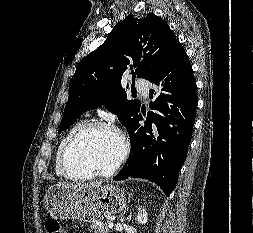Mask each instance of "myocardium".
I'll list each match as a JSON object with an SVG mask.
<instances>
[{
    "instance_id": "obj_1",
    "label": "myocardium",
    "mask_w": 253,
    "mask_h": 233,
    "mask_svg": "<svg viewBox=\"0 0 253 233\" xmlns=\"http://www.w3.org/2000/svg\"><path fill=\"white\" fill-rule=\"evenodd\" d=\"M96 130H109V131L114 132L119 137L120 142H121L120 155L118 159L116 160V162L107 170H93L86 174L76 175L72 173L69 168V164H68L69 154L72 148L74 147V145L83 136ZM128 154H129V141L126 135L124 134V132L120 128H118L117 126L111 123H107L103 121H95V122H90V123L85 124L68 141V143L66 144L63 150V154L61 158V167L65 176L71 180H86V179H91V178L99 177V176L108 177V176L113 175L123 165V163L126 161L128 157Z\"/></svg>"
}]
</instances>
